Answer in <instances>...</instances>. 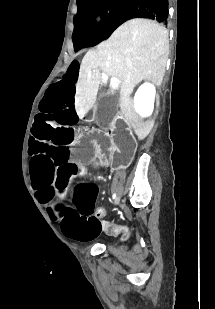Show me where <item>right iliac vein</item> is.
I'll return each mask as SVG.
<instances>
[{
    "instance_id": "1",
    "label": "right iliac vein",
    "mask_w": 215,
    "mask_h": 309,
    "mask_svg": "<svg viewBox=\"0 0 215 309\" xmlns=\"http://www.w3.org/2000/svg\"><path fill=\"white\" fill-rule=\"evenodd\" d=\"M118 201H120V196H118V197L116 198V203H117Z\"/></svg>"
}]
</instances>
